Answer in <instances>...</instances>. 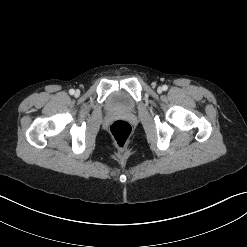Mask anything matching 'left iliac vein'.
Segmentation results:
<instances>
[{"label":"left iliac vein","mask_w":247,"mask_h":247,"mask_svg":"<svg viewBox=\"0 0 247 247\" xmlns=\"http://www.w3.org/2000/svg\"><path fill=\"white\" fill-rule=\"evenodd\" d=\"M162 91H163L162 87H158V88H157V92H158V93H161Z\"/></svg>","instance_id":"1"}]
</instances>
